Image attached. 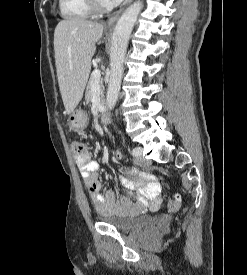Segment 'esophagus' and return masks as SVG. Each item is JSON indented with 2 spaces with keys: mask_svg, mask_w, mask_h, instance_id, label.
<instances>
[{
  "mask_svg": "<svg viewBox=\"0 0 247 275\" xmlns=\"http://www.w3.org/2000/svg\"><path fill=\"white\" fill-rule=\"evenodd\" d=\"M133 0H128V4H130ZM124 7L119 9L118 11H116L107 21V26L108 27H112L114 26V24L116 23V21L118 20L119 16L121 15V13L123 12Z\"/></svg>",
  "mask_w": 247,
  "mask_h": 275,
  "instance_id": "1",
  "label": "esophagus"
}]
</instances>
